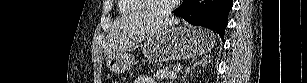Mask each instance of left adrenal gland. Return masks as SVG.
<instances>
[{"instance_id":"obj_1","label":"left adrenal gland","mask_w":307,"mask_h":83,"mask_svg":"<svg viewBox=\"0 0 307 83\" xmlns=\"http://www.w3.org/2000/svg\"><path fill=\"white\" fill-rule=\"evenodd\" d=\"M207 58L208 56L203 57L199 62H197L196 64H194L192 67L187 68L185 70V74L182 77V80H185V78L187 77V75L192 72V70H194L195 68H197L198 66H204L207 63Z\"/></svg>"}]
</instances>
